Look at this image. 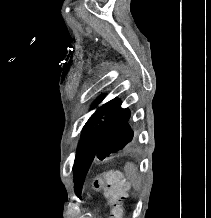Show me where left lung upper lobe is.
<instances>
[{"instance_id": "left-lung-upper-lobe-1", "label": "left lung upper lobe", "mask_w": 211, "mask_h": 218, "mask_svg": "<svg viewBox=\"0 0 211 218\" xmlns=\"http://www.w3.org/2000/svg\"><path fill=\"white\" fill-rule=\"evenodd\" d=\"M103 98H98L92 108H96ZM120 106L121 102L118 99L104 103L97 108L82 130L73 166L74 190L78 196L94 158L104 159L110 153L126 147L134 137L129 123L130 111Z\"/></svg>"}]
</instances>
